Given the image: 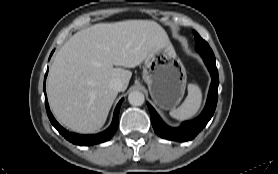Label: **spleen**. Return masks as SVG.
Masks as SVG:
<instances>
[{"mask_svg":"<svg viewBox=\"0 0 278 174\" xmlns=\"http://www.w3.org/2000/svg\"><path fill=\"white\" fill-rule=\"evenodd\" d=\"M188 95L184 102L176 109L170 111V116L177 120L192 118L199 110L202 102V92L198 85H188Z\"/></svg>","mask_w":278,"mask_h":174,"instance_id":"3e777b00","label":"spleen"}]
</instances>
